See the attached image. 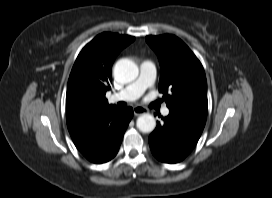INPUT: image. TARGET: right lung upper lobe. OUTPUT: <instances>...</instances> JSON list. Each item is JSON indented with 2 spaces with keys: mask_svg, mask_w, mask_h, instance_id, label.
<instances>
[{
  "mask_svg": "<svg viewBox=\"0 0 272 198\" xmlns=\"http://www.w3.org/2000/svg\"><path fill=\"white\" fill-rule=\"evenodd\" d=\"M134 40L129 35L104 32L79 53L66 93V120L70 135L113 107L105 98L110 89L111 66L119 52Z\"/></svg>",
  "mask_w": 272,
  "mask_h": 198,
  "instance_id": "obj_1",
  "label": "right lung upper lobe"
}]
</instances>
